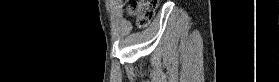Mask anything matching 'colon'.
Instances as JSON below:
<instances>
[{
    "mask_svg": "<svg viewBox=\"0 0 279 82\" xmlns=\"http://www.w3.org/2000/svg\"><path fill=\"white\" fill-rule=\"evenodd\" d=\"M158 0H125L126 14L135 17L138 26H145L153 17Z\"/></svg>",
    "mask_w": 279,
    "mask_h": 82,
    "instance_id": "colon-1",
    "label": "colon"
}]
</instances>
